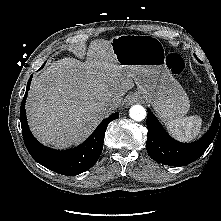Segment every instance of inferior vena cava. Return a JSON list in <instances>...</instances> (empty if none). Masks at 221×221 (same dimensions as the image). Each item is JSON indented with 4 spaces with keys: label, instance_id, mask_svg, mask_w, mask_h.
<instances>
[{
    "label": "inferior vena cava",
    "instance_id": "inferior-vena-cava-1",
    "mask_svg": "<svg viewBox=\"0 0 221 221\" xmlns=\"http://www.w3.org/2000/svg\"><path fill=\"white\" fill-rule=\"evenodd\" d=\"M119 107V104L116 102H110V103H106L104 105V113L106 115H110L111 113L115 112L117 110V108Z\"/></svg>",
    "mask_w": 221,
    "mask_h": 221
}]
</instances>
